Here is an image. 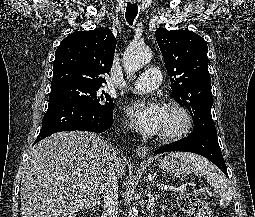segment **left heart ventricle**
Listing matches in <instances>:
<instances>
[{"label": "left heart ventricle", "mask_w": 255, "mask_h": 217, "mask_svg": "<svg viewBox=\"0 0 255 217\" xmlns=\"http://www.w3.org/2000/svg\"><path fill=\"white\" fill-rule=\"evenodd\" d=\"M182 124V117L176 110L164 109L163 121L159 134L177 130Z\"/></svg>", "instance_id": "1"}]
</instances>
